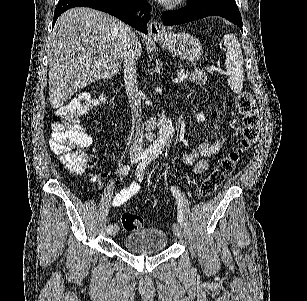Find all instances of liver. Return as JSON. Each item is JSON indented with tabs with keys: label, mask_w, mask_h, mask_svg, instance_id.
<instances>
[{
	"label": "liver",
	"mask_w": 307,
	"mask_h": 301,
	"mask_svg": "<svg viewBox=\"0 0 307 301\" xmlns=\"http://www.w3.org/2000/svg\"><path fill=\"white\" fill-rule=\"evenodd\" d=\"M128 24L111 14L75 6L57 18L50 38L49 102L62 106L72 94L100 78H111L121 68ZM136 60L142 44L131 42Z\"/></svg>",
	"instance_id": "6515ba94"
}]
</instances>
